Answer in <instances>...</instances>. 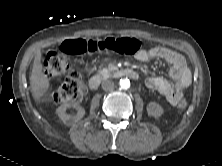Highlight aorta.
<instances>
[{
  "label": "aorta",
  "mask_w": 222,
  "mask_h": 166,
  "mask_svg": "<svg viewBox=\"0 0 222 166\" xmlns=\"http://www.w3.org/2000/svg\"><path fill=\"white\" fill-rule=\"evenodd\" d=\"M120 87L122 89H128L130 87V81L127 78L121 79L120 80Z\"/></svg>",
  "instance_id": "762f6f07"
}]
</instances>
